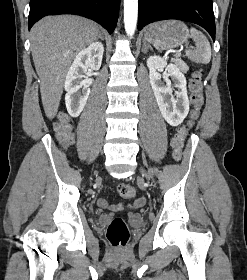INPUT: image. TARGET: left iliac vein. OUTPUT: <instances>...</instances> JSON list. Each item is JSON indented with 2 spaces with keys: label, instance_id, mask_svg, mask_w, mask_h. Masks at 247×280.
Here are the masks:
<instances>
[{
  "label": "left iliac vein",
  "instance_id": "left-iliac-vein-1",
  "mask_svg": "<svg viewBox=\"0 0 247 280\" xmlns=\"http://www.w3.org/2000/svg\"><path fill=\"white\" fill-rule=\"evenodd\" d=\"M141 173L143 176H145L146 178H149L148 174L146 173L145 170L141 169Z\"/></svg>",
  "mask_w": 247,
  "mask_h": 280
}]
</instances>
